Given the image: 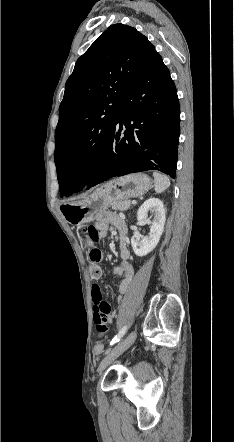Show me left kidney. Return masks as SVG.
<instances>
[{"label": "left kidney", "mask_w": 234, "mask_h": 442, "mask_svg": "<svg viewBox=\"0 0 234 442\" xmlns=\"http://www.w3.org/2000/svg\"><path fill=\"white\" fill-rule=\"evenodd\" d=\"M148 212L154 216L152 221L148 218ZM137 220L150 225V233L148 236H133L131 238L134 253L142 257L150 253L157 246L163 233L166 220L163 202L158 198H149L146 200L138 209Z\"/></svg>", "instance_id": "5707ae66"}]
</instances>
